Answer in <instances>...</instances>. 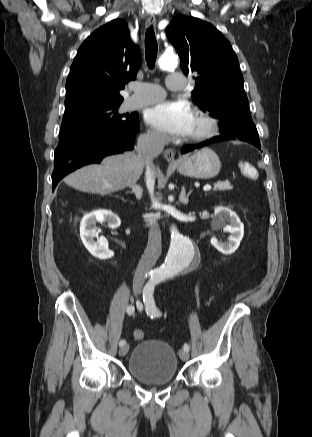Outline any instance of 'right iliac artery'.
<instances>
[{
    "mask_svg": "<svg viewBox=\"0 0 312 437\" xmlns=\"http://www.w3.org/2000/svg\"><path fill=\"white\" fill-rule=\"evenodd\" d=\"M146 277H147V275H146ZM137 308H138V310H142L143 309V305H142V303L140 302V301H137ZM127 313L129 314V315H132L133 313H134V306H132V305H129L128 307H127ZM125 344V340H120V342H119V345L120 346H123Z\"/></svg>",
    "mask_w": 312,
    "mask_h": 437,
    "instance_id": "obj_1",
    "label": "right iliac artery"
}]
</instances>
